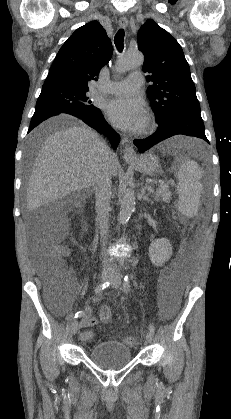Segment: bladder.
Returning a JSON list of instances; mask_svg holds the SVG:
<instances>
[{
  "label": "bladder",
  "mask_w": 231,
  "mask_h": 419,
  "mask_svg": "<svg viewBox=\"0 0 231 419\" xmlns=\"http://www.w3.org/2000/svg\"><path fill=\"white\" fill-rule=\"evenodd\" d=\"M88 358L94 365L105 370H117L132 360L130 348L116 340H105L89 350Z\"/></svg>",
  "instance_id": "bladder-1"
}]
</instances>
